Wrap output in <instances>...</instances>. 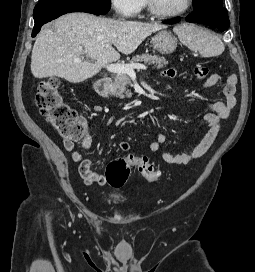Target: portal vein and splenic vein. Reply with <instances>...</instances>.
Listing matches in <instances>:
<instances>
[{
    "label": "portal vein and splenic vein",
    "instance_id": "18ae733b",
    "mask_svg": "<svg viewBox=\"0 0 255 272\" xmlns=\"http://www.w3.org/2000/svg\"><path fill=\"white\" fill-rule=\"evenodd\" d=\"M83 59H76V62H81ZM106 69L109 72L112 73H127L128 75H135V69L136 70H146L147 67L145 65L142 64H120V63H112V64H108L106 66Z\"/></svg>",
    "mask_w": 255,
    "mask_h": 272
}]
</instances>
